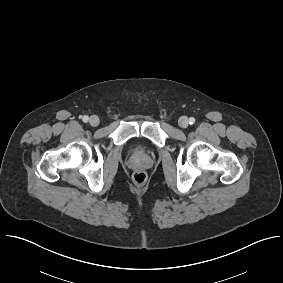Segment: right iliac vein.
Masks as SVG:
<instances>
[{
    "mask_svg": "<svg viewBox=\"0 0 283 283\" xmlns=\"http://www.w3.org/2000/svg\"><path fill=\"white\" fill-rule=\"evenodd\" d=\"M99 122H100V120H99V118L96 115L91 116L90 119H89V123L93 127L98 126Z\"/></svg>",
    "mask_w": 283,
    "mask_h": 283,
    "instance_id": "right-iliac-vein-1",
    "label": "right iliac vein"
}]
</instances>
